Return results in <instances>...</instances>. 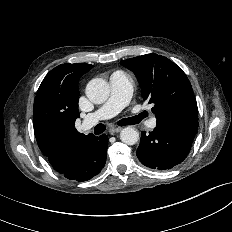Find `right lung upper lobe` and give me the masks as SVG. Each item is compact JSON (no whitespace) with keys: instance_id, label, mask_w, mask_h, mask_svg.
<instances>
[{"instance_id":"cb5924a9","label":"right lung upper lobe","mask_w":232,"mask_h":232,"mask_svg":"<svg viewBox=\"0 0 232 232\" xmlns=\"http://www.w3.org/2000/svg\"><path fill=\"white\" fill-rule=\"evenodd\" d=\"M93 65L62 64L43 79L33 109L34 134L42 153L57 170L68 163L72 147L91 136L75 128L78 112V82Z\"/></svg>"}]
</instances>
